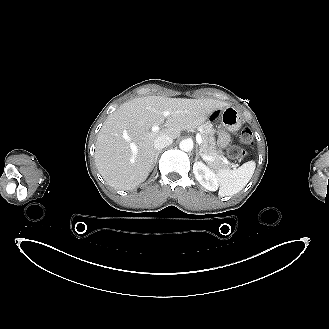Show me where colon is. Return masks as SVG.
Masks as SVG:
<instances>
[{
  "mask_svg": "<svg viewBox=\"0 0 329 329\" xmlns=\"http://www.w3.org/2000/svg\"><path fill=\"white\" fill-rule=\"evenodd\" d=\"M239 139L244 145H252L254 143V134L251 128L244 126L240 131ZM228 155L232 159H239L246 155V151L238 146H231L228 150Z\"/></svg>",
  "mask_w": 329,
  "mask_h": 329,
  "instance_id": "colon-1",
  "label": "colon"
}]
</instances>
